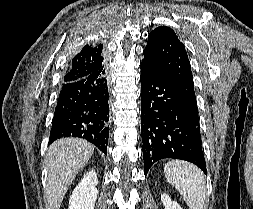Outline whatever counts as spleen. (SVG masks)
<instances>
[{
	"instance_id": "spleen-1",
	"label": "spleen",
	"mask_w": 253,
	"mask_h": 209,
	"mask_svg": "<svg viewBox=\"0 0 253 209\" xmlns=\"http://www.w3.org/2000/svg\"><path fill=\"white\" fill-rule=\"evenodd\" d=\"M164 173L190 209H203L206 185L205 176L199 168L188 162L170 161L165 165Z\"/></svg>"
}]
</instances>
